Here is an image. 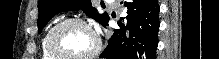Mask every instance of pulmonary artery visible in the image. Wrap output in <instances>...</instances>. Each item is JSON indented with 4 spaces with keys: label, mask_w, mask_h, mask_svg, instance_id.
I'll use <instances>...</instances> for the list:
<instances>
[{
    "label": "pulmonary artery",
    "mask_w": 219,
    "mask_h": 59,
    "mask_svg": "<svg viewBox=\"0 0 219 59\" xmlns=\"http://www.w3.org/2000/svg\"><path fill=\"white\" fill-rule=\"evenodd\" d=\"M108 3H113L114 1H107Z\"/></svg>",
    "instance_id": "pulmonary-artery-1"
}]
</instances>
